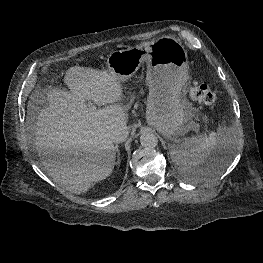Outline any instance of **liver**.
Wrapping results in <instances>:
<instances>
[{"mask_svg":"<svg viewBox=\"0 0 263 263\" xmlns=\"http://www.w3.org/2000/svg\"><path fill=\"white\" fill-rule=\"evenodd\" d=\"M64 80L71 92L51 88L46 93L48 104L33 126L35 146L53 181L81 194L113 172L116 149L110 135L127 127V113L115 104L122 88L108 72L76 65L66 71ZM89 99L106 106L92 110L86 104Z\"/></svg>","mask_w":263,"mask_h":263,"instance_id":"obj_1","label":"liver"}]
</instances>
